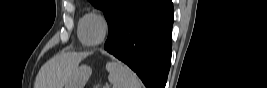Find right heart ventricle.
Returning a JSON list of instances; mask_svg holds the SVG:
<instances>
[{"mask_svg": "<svg viewBox=\"0 0 267 88\" xmlns=\"http://www.w3.org/2000/svg\"><path fill=\"white\" fill-rule=\"evenodd\" d=\"M87 15H88V14L82 16V17L80 18L79 22H78V37H79V39H80V41H81L82 43H83V41H82V37H81V29H82L84 20H85V18H86ZM83 44H84V43H83Z\"/></svg>", "mask_w": 267, "mask_h": 88, "instance_id": "1", "label": "right heart ventricle"}]
</instances>
